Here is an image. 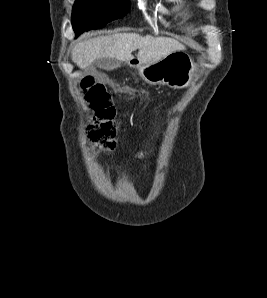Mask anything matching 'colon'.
Segmentation results:
<instances>
[{
	"label": "colon",
	"instance_id": "1",
	"mask_svg": "<svg viewBox=\"0 0 267 298\" xmlns=\"http://www.w3.org/2000/svg\"><path fill=\"white\" fill-rule=\"evenodd\" d=\"M80 86L83 98L93 113L89 130L94 139L98 141L97 150L104 153L111 152L115 144L107 123L111 118L110 96L106 88L96 83L90 76L83 78Z\"/></svg>",
	"mask_w": 267,
	"mask_h": 298
}]
</instances>
